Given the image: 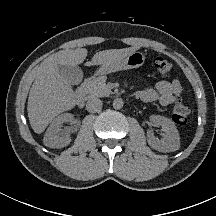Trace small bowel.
I'll return each instance as SVG.
<instances>
[{"instance_id":"obj_1","label":"small bowel","mask_w":216,"mask_h":216,"mask_svg":"<svg viewBox=\"0 0 216 216\" xmlns=\"http://www.w3.org/2000/svg\"><path fill=\"white\" fill-rule=\"evenodd\" d=\"M181 92L182 86L179 80H160L156 83L155 88L140 91L138 96L145 102H153L158 100L161 105L167 106L171 104L176 97L181 94Z\"/></svg>"}]
</instances>
